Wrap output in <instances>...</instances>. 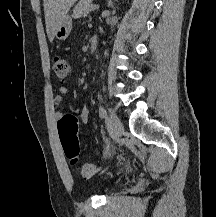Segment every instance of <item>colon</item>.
<instances>
[{
	"label": "colon",
	"mask_w": 216,
	"mask_h": 217,
	"mask_svg": "<svg viewBox=\"0 0 216 217\" xmlns=\"http://www.w3.org/2000/svg\"><path fill=\"white\" fill-rule=\"evenodd\" d=\"M53 71L58 79L65 80L70 71L69 60L59 55L56 56L53 61ZM78 127V119L71 115L63 116L58 123L59 137L65 157L72 164H75L79 157ZM78 172L82 177L89 178L97 174L98 168L93 164H83L79 166Z\"/></svg>",
	"instance_id": "5ec220e1"
}]
</instances>
